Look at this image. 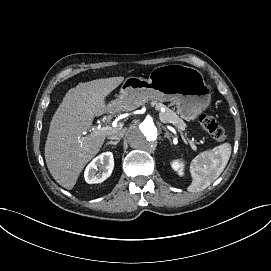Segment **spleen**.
Wrapping results in <instances>:
<instances>
[{"label": "spleen", "instance_id": "3e777b00", "mask_svg": "<svg viewBox=\"0 0 271 271\" xmlns=\"http://www.w3.org/2000/svg\"><path fill=\"white\" fill-rule=\"evenodd\" d=\"M231 156V145L224 143L211 152L196 156L190 166L193 181L187 188L189 192H198L207 188L223 172Z\"/></svg>", "mask_w": 271, "mask_h": 271}]
</instances>
